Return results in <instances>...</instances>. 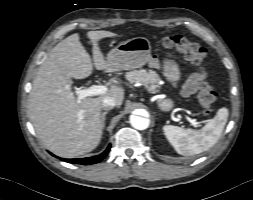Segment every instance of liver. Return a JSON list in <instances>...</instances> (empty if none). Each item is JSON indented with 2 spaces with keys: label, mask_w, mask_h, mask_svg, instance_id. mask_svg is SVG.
<instances>
[{
  "label": "liver",
  "mask_w": 253,
  "mask_h": 200,
  "mask_svg": "<svg viewBox=\"0 0 253 200\" xmlns=\"http://www.w3.org/2000/svg\"><path fill=\"white\" fill-rule=\"evenodd\" d=\"M109 31H89L93 62L75 33L59 42L39 67L28 100V116L43 145L63 157L81 156L95 149L102 136L101 109L105 98L121 106L124 89L111 85L105 94L77 101L72 78L91 75L97 70L114 72L105 60L98 41L113 36Z\"/></svg>",
  "instance_id": "liver-1"
}]
</instances>
